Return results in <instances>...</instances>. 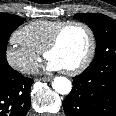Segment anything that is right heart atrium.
I'll use <instances>...</instances> for the list:
<instances>
[{
  "instance_id": "obj_1",
  "label": "right heart atrium",
  "mask_w": 116,
  "mask_h": 116,
  "mask_svg": "<svg viewBox=\"0 0 116 116\" xmlns=\"http://www.w3.org/2000/svg\"><path fill=\"white\" fill-rule=\"evenodd\" d=\"M5 61L9 67L23 75L33 74L40 62L39 56L13 35L4 51Z\"/></svg>"
}]
</instances>
